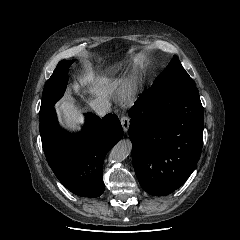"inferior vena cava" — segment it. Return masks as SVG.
<instances>
[{
	"instance_id": "obj_1",
	"label": "inferior vena cava",
	"mask_w": 240,
	"mask_h": 240,
	"mask_svg": "<svg viewBox=\"0 0 240 240\" xmlns=\"http://www.w3.org/2000/svg\"><path fill=\"white\" fill-rule=\"evenodd\" d=\"M90 107L100 116H105L111 110V104L107 99L96 98L90 102Z\"/></svg>"
}]
</instances>
